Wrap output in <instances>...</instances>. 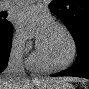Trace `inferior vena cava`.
Listing matches in <instances>:
<instances>
[{
  "label": "inferior vena cava",
  "mask_w": 89,
  "mask_h": 89,
  "mask_svg": "<svg viewBox=\"0 0 89 89\" xmlns=\"http://www.w3.org/2000/svg\"><path fill=\"white\" fill-rule=\"evenodd\" d=\"M10 76L24 77L25 70L23 65V46L20 45L17 49L13 50L10 54L8 66L5 71Z\"/></svg>",
  "instance_id": "1"
}]
</instances>
